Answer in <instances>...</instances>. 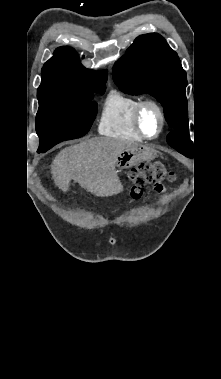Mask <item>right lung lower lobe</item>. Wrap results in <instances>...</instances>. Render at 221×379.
<instances>
[{"instance_id": "right-lung-lower-lobe-1", "label": "right lung lower lobe", "mask_w": 221, "mask_h": 379, "mask_svg": "<svg viewBox=\"0 0 221 379\" xmlns=\"http://www.w3.org/2000/svg\"><path fill=\"white\" fill-rule=\"evenodd\" d=\"M47 150H48V149H46V148H45V149H38V153H39V152H42V153H43V152H45V151H47Z\"/></svg>"}]
</instances>
